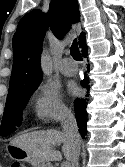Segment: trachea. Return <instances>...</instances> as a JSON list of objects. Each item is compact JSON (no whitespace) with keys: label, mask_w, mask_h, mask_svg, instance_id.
Returning <instances> with one entry per match:
<instances>
[{"label":"trachea","mask_w":125,"mask_h":167,"mask_svg":"<svg viewBox=\"0 0 125 167\" xmlns=\"http://www.w3.org/2000/svg\"><path fill=\"white\" fill-rule=\"evenodd\" d=\"M70 53L73 59L77 61H82V56L80 54V51L78 49V43L77 40L75 39L70 47Z\"/></svg>","instance_id":"obj_1"}]
</instances>
